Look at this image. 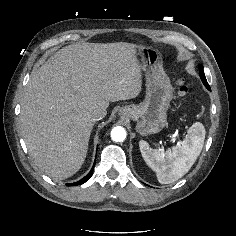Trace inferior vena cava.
Segmentation results:
<instances>
[{
  "mask_svg": "<svg viewBox=\"0 0 236 236\" xmlns=\"http://www.w3.org/2000/svg\"><path fill=\"white\" fill-rule=\"evenodd\" d=\"M106 116V111L101 108H95L90 112V117L93 121H99Z\"/></svg>",
  "mask_w": 236,
  "mask_h": 236,
  "instance_id": "602c4592",
  "label": "inferior vena cava"
}]
</instances>
